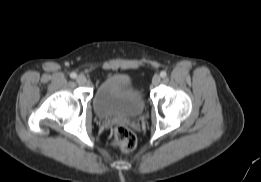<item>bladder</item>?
Instances as JSON below:
<instances>
[{"instance_id": "31cf9c89", "label": "bladder", "mask_w": 261, "mask_h": 182, "mask_svg": "<svg viewBox=\"0 0 261 182\" xmlns=\"http://www.w3.org/2000/svg\"><path fill=\"white\" fill-rule=\"evenodd\" d=\"M93 108L100 118H133L143 111L144 97L128 76L111 74L97 86Z\"/></svg>"}]
</instances>
